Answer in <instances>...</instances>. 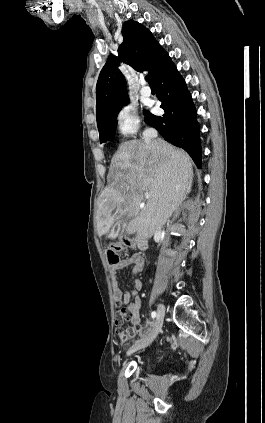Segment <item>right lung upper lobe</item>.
<instances>
[{
  "instance_id": "obj_1",
  "label": "right lung upper lobe",
  "mask_w": 265,
  "mask_h": 423,
  "mask_svg": "<svg viewBox=\"0 0 265 423\" xmlns=\"http://www.w3.org/2000/svg\"><path fill=\"white\" fill-rule=\"evenodd\" d=\"M122 34L124 40L118 49V57L113 54L108 57L96 85L97 124L128 99L125 91L126 81L118 69L119 61L137 71L148 70L152 79L171 61L151 32L142 24L128 20L123 25Z\"/></svg>"
}]
</instances>
